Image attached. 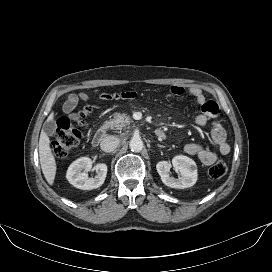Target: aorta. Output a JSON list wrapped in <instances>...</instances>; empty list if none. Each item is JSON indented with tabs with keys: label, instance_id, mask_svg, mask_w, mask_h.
<instances>
[{
	"label": "aorta",
	"instance_id": "obj_1",
	"mask_svg": "<svg viewBox=\"0 0 272 272\" xmlns=\"http://www.w3.org/2000/svg\"><path fill=\"white\" fill-rule=\"evenodd\" d=\"M143 141L139 137H133L130 140L129 147L133 152H140L143 149Z\"/></svg>",
	"mask_w": 272,
	"mask_h": 272
}]
</instances>
